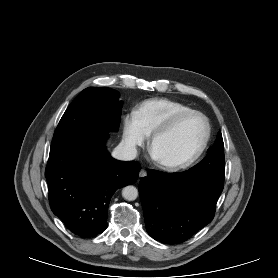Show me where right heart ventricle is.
Listing matches in <instances>:
<instances>
[{"label": "right heart ventricle", "mask_w": 278, "mask_h": 278, "mask_svg": "<svg viewBox=\"0 0 278 278\" xmlns=\"http://www.w3.org/2000/svg\"><path fill=\"white\" fill-rule=\"evenodd\" d=\"M190 109L188 105L175 100L152 98L140 103L135 112L149 135L176 114Z\"/></svg>", "instance_id": "obj_1"}]
</instances>
